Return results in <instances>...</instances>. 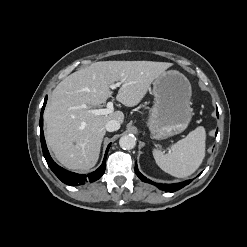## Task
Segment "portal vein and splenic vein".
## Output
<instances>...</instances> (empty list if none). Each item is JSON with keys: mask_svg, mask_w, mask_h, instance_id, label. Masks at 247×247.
Segmentation results:
<instances>
[{"mask_svg": "<svg viewBox=\"0 0 247 247\" xmlns=\"http://www.w3.org/2000/svg\"><path fill=\"white\" fill-rule=\"evenodd\" d=\"M122 84V82H118V83H115V84H112L110 86L111 89H116L117 87H120V85ZM82 108H87L86 105H82ZM114 110V107H113V102H108L107 103V108L105 109H92L90 110V112L94 115H108L110 113H112Z\"/></svg>", "mask_w": 247, "mask_h": 247, "instance_id": "obj_1", "label": "portal vein and splenic vein"}]
</instances>
